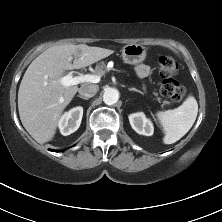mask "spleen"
Returning a JSON list of instances; mask_svg holds the SVG:
<instances>
[{"label": "spleen", "instance_id": "3e777b00", "mask_svg": "<svg viewBox=\"0 0 222 222\" xmlns=\"http://www.w3.org/2000/svg\"><path fill=\"white\" fill-rule=\"evenodd\" d=\"M198 113V103L190 95L176 109L159 111L156 116L163 127L165 144L180 140L193 126Z\"/></svg>", "mask_w": 222, "mask_h": 222}]
</instances>
